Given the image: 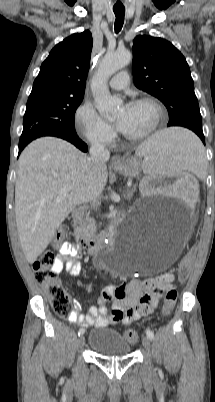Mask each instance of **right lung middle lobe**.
Listing matches in <instances>:
<instances>
[{
	"instance_id": "obj_1",
	"label": "right lung middle lobe",
	"mask_w": 215,
	"mask_h": 402,
	"mask_svg": "<svg viewBox=\"0 0 215 402\" xmlns=\"http://www.w3.org/2000/svg\"><path fill=\"white\" fill-rule=\"evenodd\" d=\"M83 97L53 93L29 96L19 145L42 136L76 133L74 115Z\"/></svg>"
}]
</instances>
